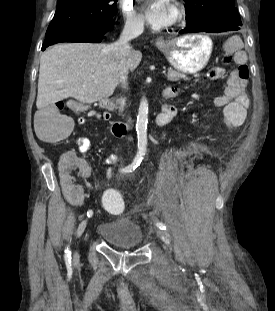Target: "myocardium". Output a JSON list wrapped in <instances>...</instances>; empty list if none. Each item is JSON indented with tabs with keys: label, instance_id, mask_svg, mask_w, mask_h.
<instances>
[{
	"label": "myocardium",
	"instance_id": "f54148a6",
	"mask_svg": "<svg viewBox=\"0 0 275 311\" xmlns=\"http://www.w3.org/2000/svg\"><path fill=\"white\" fill-rule=\"evenodd\" d=\"M173 6H174L175 14H174L173 21L171 24L172 25L181 24L184 21L185 16H186L185 8L179 2H175Z\"/></svg>",
	"mask_w": 275,
	"mask_h": 311
}]
</instances>
